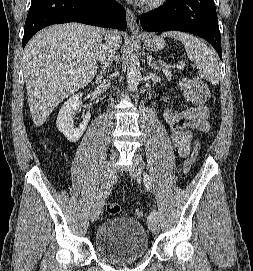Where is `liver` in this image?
<instances>
[{
    "mask_svg": "<svg viewBox=\"0 0 253 271\" xmlns=\"http://www.w3.org/2000/svg\"><path fill=\"white\" fill-rule=\"evenodd\" d=\"M104 30L81 23L50 26L24 49V77L33 123L40 127L54 108L92 81L102 50ZM114 49L120 33H108Z\"/></svg>",
    "mask_w": 253,
    "mask_h": 271,
    "instance_id": "6515ba94",
    "label": "liver"
}]
</instances>
